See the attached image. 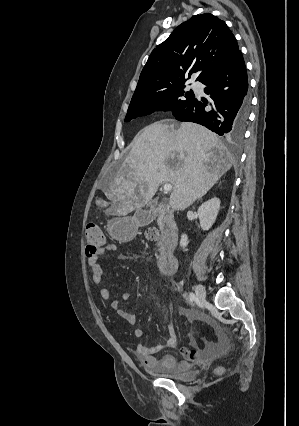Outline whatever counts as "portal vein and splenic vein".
I'll return each instance as SVG.
<instances>
[{
  "instance_id": "portal-vein-and-splenic-vein-1",
  "label": "portal vein and splenic vein",
  "mask_w": 299,
  "mask_h": 426,
  "mask_svg": "<svg viewBox=\"0 0 299 426\" xmlns=\"http://www.w3.org/2000/svg\"><path fill=\"white\" fill-rule=\"evenodd\" d=\"M163 189L165 192H170L173 189V186L170 183H165L163 185Z\"/></svg>"
}]
</instances>
